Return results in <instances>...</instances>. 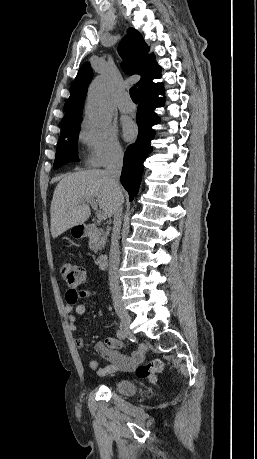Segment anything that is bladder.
Listing matches in <instances>:
<instances>
[{
	"instance_id": "31cf9c89",
	"label": "bladder",
	"mask_w": 257,
	"mask_h": 459,
	"mask_svg": "<svg viewBox=\"0 0 257 459\" xmlns=\"http://www.w3.org/2000/svg\"><path fill=\"white\" fill-rule=\"evenodd\" d=\"M114 389L123 396L134 395L138 388L135 382L129 378H120L114 384Z\"/></svg>"
}]
</instances>
